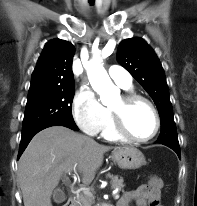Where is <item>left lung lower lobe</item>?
<instances>
[{"mask_svg": "<svg viewBox=\"0 0 197 206\" xmlns=\"http://www.w3.org/2000/svg\"><path fill=\"white\" fill-rule=\"evenodd\" d=\"M156 143L163 144L168 146L169 148L173 149L180 158V147L179 142L175 140H157Z\"/></svg>", "mask_w": 197, "mask_h": 206, "instance_id": "0a47b994", "label": "left lung lower lobe"}]
</instances>
